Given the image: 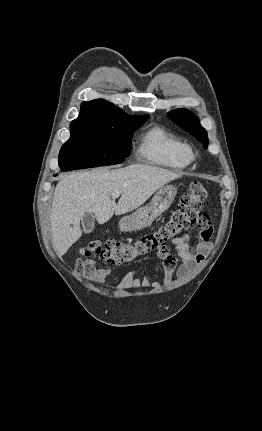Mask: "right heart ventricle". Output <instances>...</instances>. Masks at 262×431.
Masks as SVG:
<instances>
[{
  "mask_svg": "<svg viewBox=\"0 0 262 431\" xmlns=\"http://www.w3.org/2000/svg\"><path fill=\"white\" fill-rule=\"evenodd\" d=\"M190 146L161 126L149 129L142 137L138 155L146 162L169 169L187 168L191 161Z\"/></svg>",
  "mask_w": 262,
  "mask_h": 431,
  "instance_id": "right-heart-ventricle-1",
  "label": "right heart ventricle"
}]
</instances>
